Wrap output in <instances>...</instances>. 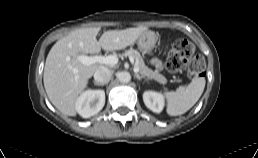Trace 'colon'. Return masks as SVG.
Here are the masks:
<instances>
[{
  "instance_id": "colon-1",
  "label": "colon",
  "mask_w": 258,
  "mask_h": 158,
  "mask_svg": "<svg viewBox=\"0 0 258 158\" xmlns=\"http://www.w3.org/2000/svg\"><path fill=\"white\" fill-rule=\"evenodd\" d=\"M166 66L171 72L186 70L189 76L197 77L205 69V61L201 55L195 53L193 44L181 39L174 43L168 53Z\"/></svg>"
}]
</instances>
